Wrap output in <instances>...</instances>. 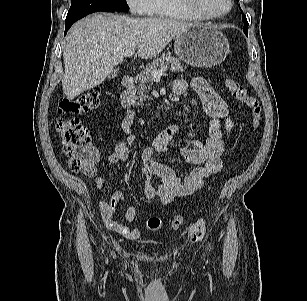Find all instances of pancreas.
Instances as JSON below:
<instances>
[{"label": "pancreas", "instance_id": "1", "mask_svg": "<svg viewBox=\"0 0 307 301\" xmlns=\"http://www.w3.org/2000/svg\"><path fill=\"white\" fill-rule=\"evenodd\" d=\"M169 65L171 71L174 72H183L185 69L177 58H175L170 52H167L154 59L151 63H148L145 69L140 72L136 78L138 85L133 89V99L136 101V105H147L144 103L147 99H151L148 93L153 85L152 71L158 68L168 67Z\"/></svg>", "mask_w": 307, "mask_h": 301}]
</instances>
